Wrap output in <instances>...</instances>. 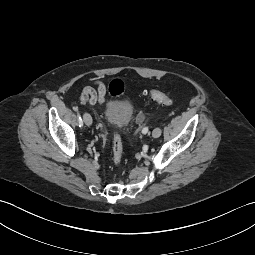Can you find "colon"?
Here are the masks:
<instances>
[{
  "label": "colon",
  "instance_id": "colon-1",
  "mask_svg": "<svg viewBox=\"0 0 255 255\" xmlns=\"http://www.w3.org/2000/svg\"><path fill=\"white\" fill-rule=\"evenodd\" d=\"M125 90V84L121 79H114L109 84V93L113 96L120 95ZM150 98L164 106L173 104V100L165 93L158 89H150L148 91ZM123 157V144L122 139L118 133L113 136V163L118 166L122 162Z\"/></svg>",
  "mask_w": 255,
  "mask_h": 255
}]
</instances>
